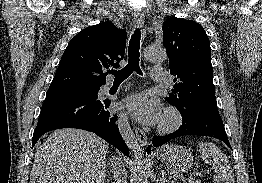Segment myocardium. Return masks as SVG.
Instances as JSON below:
<instances>
[{
    "mask_svg": "<svg viewBox=\"0 0 262 183\" xmlns=\"http://www.w3.org/2000/svg\"><path fill=\"white\" fill-rule=\"evenodd\" d=\"M183 122V116L179 109L174 106L165 108L162 119L158 125V131L163 134L177 130Z\"/></svg>",
    "mask_w": 262,
    "mask_h": 183,
    "instance_id": "f54148a6",
    "label": "myocardium"
}]
</instances>
